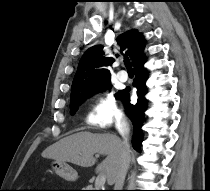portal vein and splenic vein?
Instances as JSON below:
<instances>
[{"label": "portal vein and splenic vein", "mask_w": 210, "mask_h": 191, "mask_svg": "<svg viewBox=\"0 0 210 191\" xmlns=\"http://www.w3.org/2000/svg\"><path fill=\"white\" fill-rule=\"evenodd\" d=\"M105 181H106V176L103 173L99 174L95 181L96 190H100V188H103Z\"/></svg>", "instance_id": "1"}]
</instances>
